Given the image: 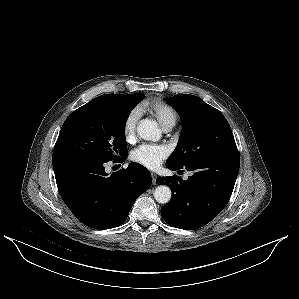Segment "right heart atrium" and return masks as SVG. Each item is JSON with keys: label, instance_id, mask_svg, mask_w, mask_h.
<instances>
[{"label": "right heart atrium", "instance_id": "d8ad5b80", "mask_svg": "<svg viewBox=\"0 0 299 299\" xmlns=\"http://www.w3.org/2000/svg\"><path fill=\"white\" fill-rule=\"evenodd\" d=\"M138 120L139 111L137 109H132L125 116L123 121V135L127 142H132L135 139Z\"/></svg>", "mask_w": 299, "mask_h": 299}]
</instances>
